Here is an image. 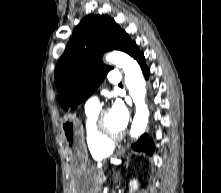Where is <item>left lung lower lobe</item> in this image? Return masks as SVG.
I'll use <instances>...</instances> for the list:
<instances>
[{"mask_svg": "<svg viewBox=\"0 0 221 193\" xmlns=\"http://www.w3.org/2000/svg\"><path fill=\"white\" fill-rule=\"evenodd\" d=\"M128 54L133 57L140 65L141 70L146 79L149 77V69L145 64V57L143 53L140 52L136 43L133 44ZM132 148L138 152H146L149 155L153 154L154 151V143L151 138L147 134H144L140 139L132 145Z\"/></svg>", "mask_w": 221, "mask_h": 193, "instance_id": "obj_1", "label": "left lung lower lobe"}]
</instances>
